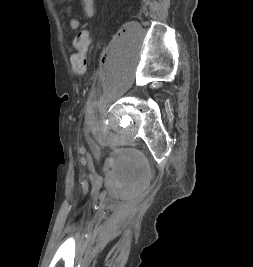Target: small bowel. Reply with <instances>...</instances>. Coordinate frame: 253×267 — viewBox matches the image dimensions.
<instances>
[{
	"mask_svg": "<svg viewBox=\"0 0 253 267\" xmlns=\"http://www.w3.org/2000/svg\"><path fill=\"white\" fill-rule=\"evenodd\" d=\"M83 13L87 18H92L95 15L94 0H80ZM69 26L72 30L77 31L81 28V22L77 18L69 20Z\"/></svg>",
	"mask_w": 253,
	"mask_h": 267,
	"instance_id": "obj_1",
	"label": "small bowel"
}]
</instances>
